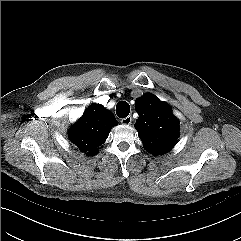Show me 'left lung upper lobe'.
<instances>
[{"instance_id": "1", "label": "left lung upper lobe", "mask_w": 241, "mask_h": 241, "mask_svg": "<svg viewBox=\"0 0 241 241\" xmlns=\"http://www.w3.org/2000/svg\"><path fill=\"white\" fill-rule=\"evenodd\" d=\"M136 111L135 127L146 150L156 155L171 150L179 136V122L167 103L147 93L136 100Z\"/></svg>"}]
</instances>
